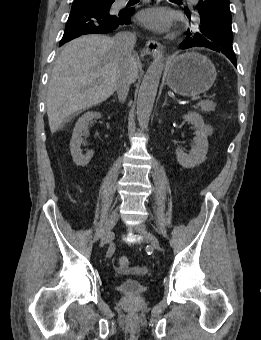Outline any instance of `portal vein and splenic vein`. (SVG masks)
<instances>
[{
    "mask_svg": "<svg viewBox=\"0 0 261 340\" xmlns=\"http://www.w3.org/2000/svg\"><path fill=\"white\" fill-rule=\"evenodd\" d=\"M199 97H192L191 98V101L195 102V101H198Z\"/></svg>",
    "mask_w": 261,
    "mask_h": 340,
    "instance_id": "obj_1",
    "label": "portal vein and splenic vein"
}]
</instances>
